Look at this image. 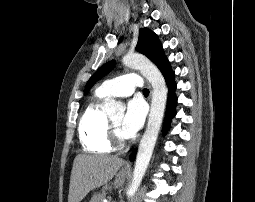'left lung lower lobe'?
<instances>
[{"instance_id": "1", "label": "left lung lower lobe", "mask_w": 255, "mask_h": 202, "mask_svg": "<svg viewBox=\"0 0 255 202\" xmlns=\"http://www.w3.org/2000/svg\"><path fill=\"white\" fill-rule=\"evenodd\" d=\"M166 83L169 89L168 92V103H167V110L165 116V123H164V132L167 131L170 125L171 119L175 116V106L177 103V97L175 95L176 90V83L174 80V74H172L169 78L166 79ZM135 156V151L131 154L130 159L133 160Z\"/></svg>"}]
</instances>
